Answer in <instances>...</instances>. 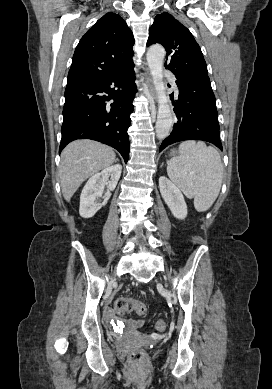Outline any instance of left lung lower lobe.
<instances>
[{"label": "left lung lower lobe", "mask_w": 272, "mask_h": 389, "mask_svg": "<svg viewBox=\"0 0 272 389\" xmlns=\"http://www.w3.org/2000/svg\"><path fill=\"white\" fill-rule=\"evenodd\" d=\"M179 97L175 106L176 123L159 151L184 140L207 141L222 150L216 100L208 76L176 77ZM173 97V95H171Z\"/></svg>", "instance_id": "0a47b994"}]
</instances>
